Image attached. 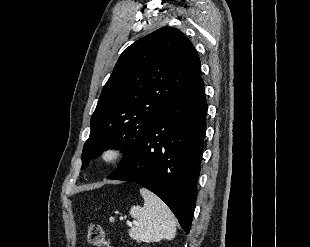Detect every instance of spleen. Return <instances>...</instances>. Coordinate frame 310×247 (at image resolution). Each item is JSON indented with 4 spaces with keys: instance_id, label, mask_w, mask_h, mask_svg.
I'll return each instance as SVG.
<instances>
[{
    "instance_id": "1",
    "label": "spleen",
    "mask_w": 310,
    "mask_h": 247,
    "mask_svg": "<svg viewBox=\"0 0 310 247\" xmlns=\"http://www.w3.org/2000/svg\"><path fill=\"white\" fill-rule=\"evenodd\" d=\"M144 206H132L131 216L136 219L129 236L138 242L171 240L176 234L175 217L169 207L155 194L145 188L140 189Z\"/></svg>"
}]
</instances>
